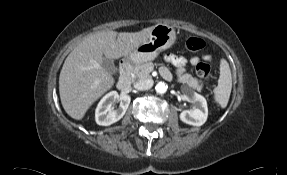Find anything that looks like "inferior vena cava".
<instances>
[{
  "label": "inferior vena cava",
  "instance_id": "obj_1",
  "mask_svg": "<svg viewBox=\"0 0 287 175\" xmlns=\"http://www.w3.org/2000/svg\"><path fill=\"white\" fill-rule=\"evenodd\" d=\"M153 86V80L152 79H142L139 80L135 85V89L143 91L148 90Z\"/></svg>",
  "mask_w": 287,
  "mask_h": 175
}]
</instances>
